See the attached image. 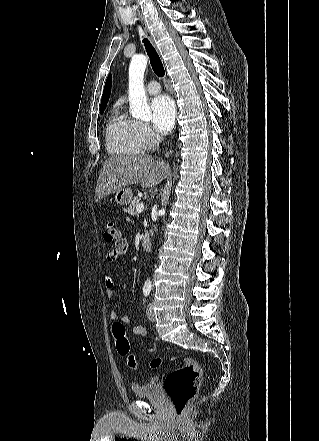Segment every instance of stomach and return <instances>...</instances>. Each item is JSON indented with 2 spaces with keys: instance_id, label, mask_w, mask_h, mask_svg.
<instances>
[{
  "instance_id": "0dacf381",
  "label": "stomach",
  "mask_w": 319,
  "mask_h": 441,
  "mask_svg": "<svg viewBox=\"0 0 319 441\" xmlns=\"http://www.w3.org/2000/svg\"><path fill=\"white\" fill-rule=\"evenodd\" d=\"M132 191L131 189L128 188H124L122 190H119L118 192H116L115 195V200L119 205H127L132 201Z\"/></svg>"
}]
</instances>
